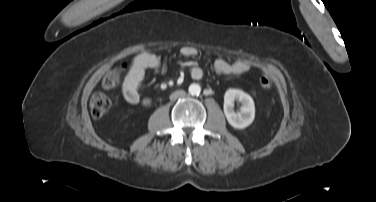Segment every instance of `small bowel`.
I'll use <instances>...</instances> for the list:
<instances>
[{"label":"small bowel","instance_id":"1","mask_svg":"<svg viewBox=\"0 0 376 202\" xmlns=\"http://www.w3.org/2000/svg\"><path fill=\"white\" fill-rule=\"evenodd\" d=\"M180 54L185 58H191L198 54V50L193 46H184L181 48ZM249 68V64L241 60L227 62L223 59H217L212 65L214 72L224 75H239L247 72ZM147 69L162 70L163 63L157 55L149 52L136 55L122 84V94L127 103H139L141 99L139 88ZM189 74L196 80L205 76L204 71L197 66H190Z\"/></svg>","mask_w":376,"mask_h":202}]
</instances>
